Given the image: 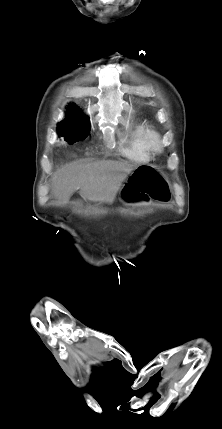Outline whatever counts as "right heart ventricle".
<instances>
[{
	"instance_id": "1",
	"label": "right heart ventricle",
	"mask_w": 222,
	"mask_h": 429,
	"mask_svg": "<svg viewBox=\"0 0 222 429\" xmlns=\"http://www.w3.org/2000/svg\"><path fill=\"white\" fill-rule=\"evenodd\" d=\"M127 123L126 139L119 145L120 153L135 162H148L151 153L145 145V139L150 130L145 124L139 122L131 113L124 114Z\"/></svg>"
}]
</instances>
